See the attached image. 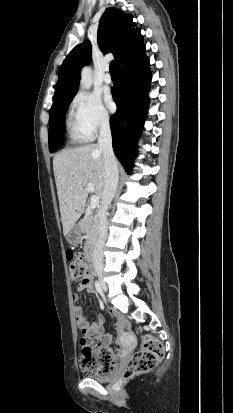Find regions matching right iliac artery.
<instances>
[{
	"label": "right iliac artery",
	"mask_w": 233,
	"mask_h": 413,
	"mask_svg": "<svg viewBox=\"0 0 233 413\" xmlns=\"http://www.w3.org/2000/svg\"><path fill=\"white\" fill-rule=\"evenodd\" d=\"M95 287H96L97 292L101 294L102 293V287H101V284H100L99 281L95 282Z\"/></svg>",
	"instance_id": "1"
}]
</instances>
